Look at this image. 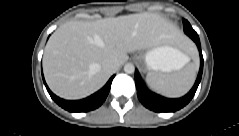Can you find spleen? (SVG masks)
<instances>
[{"label":"spleen","instance_id":"3e777b00","mask_svg":"<svg viewBox=\"0 0 239 136\" xmlns=\"http://www.w3.org/2000/svg\"><path fill=\"white\" fill-rule=\"evenodd\" d=\"M188 61L187 57L185 64ZM194 80L195 67L193 66L171 73L151 71L146 76V82L152 90L168 97H178L185 94L193 85Z\"/></svg>","mask_w":239,"mask_h":136}]
</instances>
